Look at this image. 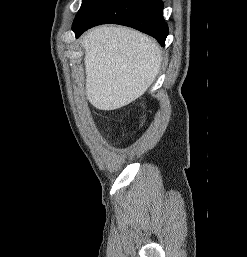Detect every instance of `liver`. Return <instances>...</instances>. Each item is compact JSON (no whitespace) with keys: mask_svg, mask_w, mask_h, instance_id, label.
I'll list each match as a JSON object with an SVG mask.
<instances>
[{"mask_svg":"<svg viewBox=\"0 0 247 257\" xmlns=\"http://www.w3.org/2000/svg\"><path fill=\"white\" fill-rule=\"evenodd\" d=\"M86 96L97 109H119L141 97L161 65L155 40L131 28L100 26L82 38Z\"/></svg>","mask_w":247,"mask_h":257,"instance_id":"obj_1","label":"liver"}]
</instances>
